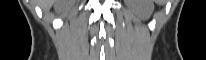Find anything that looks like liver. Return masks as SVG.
I'll return each mask as SVG.
<instances>
[{
  "mask_svg": "<svg viewBox=\"0 0 206 60\" xmlns=\"http://www.w3.org/2000/svg\"><path fill=\"white\" fill-rule=\"evenodd\" d=\"M73 3L74 0H42L41 7L43 9H47V7L54 4L57 11L66 12Z\"/></svg>",
  "mask_w": 206,
  "mask_h": 60,
  "instance_id": "1",
  "label": "liver"
}]
</instances>
